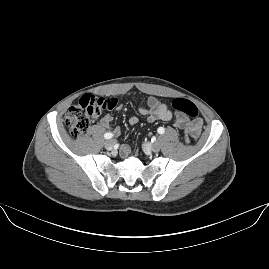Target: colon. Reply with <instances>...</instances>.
Masks as SVG:
<instances>
[{"label": "colon", "mask_w": 269, "mask_h": 269, "mask_svg": "<svg viewBox=\"0 0 269 269\" xmlns=\"http://www.w3.org/2000/svg\"><path fill=\"white\" fill-rule=\"evenodd\" d=\"M119 99L112 95L109 99L97 98L90 93L82 95L77 104L71 106L65 115V123L69 127L71 134L74 136L83 135L92 123V119L101 114L102 111L108 110L111 106L117 105ZM171 108L175 112L185 114L190 119L198 117L196 105L187 98L177 97L171 101ZM184 144L190 145V139L186 134Z\"/></svg>", "instance_id": "colon-1"}]
</instances>
